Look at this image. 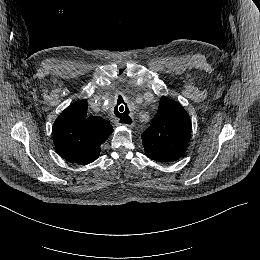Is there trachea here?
Masks as SVG:
<instances>
[{
    "label": "trachea",
    "instance_id": "3493384b",
    "mask_svg": "<svg viewBox=\"0 0 260 260\" xmlns=\"http://www.w3.org/2000/svg\"><path fill=\"white\" fill-rule=\"evenodd\" d=\"M114 114L120 119V123H126L127 120H130L129 109L126 104L124 106H120L119 108L115 107Z\"/></svg>",
    "mask_w": 260,
    "mask_h": 260
}]
</instances>
